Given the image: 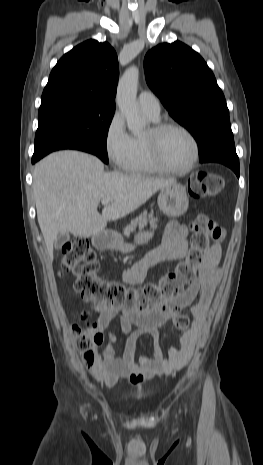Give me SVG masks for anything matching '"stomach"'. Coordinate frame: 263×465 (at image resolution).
Masks as SVG:
<instances>
[{
	"label": "stomach",
	"mask_w": 263,
	"mask_h": 465,
	"mask_svg": "<svg viewBox=\"0 0 263 465\" xmlns=\"http://www.w3.org/2000/svg\"><path fill=\"white\" fill-rule=\"evenodd\" d=\"M157 202L161 211L169 217L182 216L189 205L186 189L178 183L161 189ZM152 236V232L140 231L135 236V244H146ZM93 242L100 249L119 250L123 254L129 253L135 248V244L125 243L119 235L111 233H100L93 237Z\"/></svg>",
	"instance_id": "0dacf381"
}]
</instances>
